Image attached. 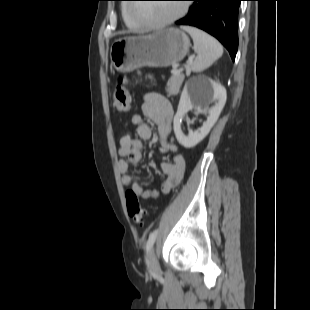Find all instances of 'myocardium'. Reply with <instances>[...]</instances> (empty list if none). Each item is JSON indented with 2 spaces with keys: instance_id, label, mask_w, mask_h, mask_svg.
I'll use <instances>...</instances> for the list:
<instances>
[{
  "instance_id": "myocardium-1",
  "label": "myocardium",
  "mask_w": 310,
  "mask_h": 310,
  "mask_svg": "<svg viewBox=\"0 0 310 310\" xmlns=\"http://www.w3.org/2000/svg\"><path fill=\"white\" fill-rule=\"evenodd\" d=\"M188 7H189L188 4H186V3L182 4L179 12L176 15H174V16H172V17H170L164 21H161V22H151V21H147V20H144V19H141V18L135 16L132 12L133 11V5H128L127 12H128L129 17L133 21L138 23L141 27L156 30V29H161V28L167 27V26L175 23L179 19H181L188 12Z\"/></svg>"
}]
</instances>
